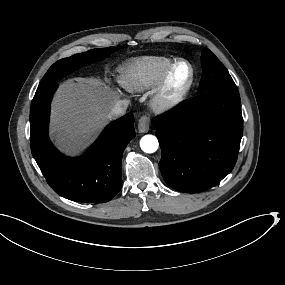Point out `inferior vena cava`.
Returning <instances> with one entry per match:
<instances>
[{
    "label": "inferior vena cava",
    "instance_id": "obj_1",
    "mask_svg": "<svg viewBox=\"0 0 285 285\" xmlns=\"http://www.w3.org/2000/svg\"><path fill=\"white\" fill-rule=\"evenodd\" d=\"M128 105H129L128 100L117 101V103L114 105V107L111 109V111L108 114L109 118L115 119L117 117L124 115Z\"/></svg>",
    "mask_w": 285,
    "mask_h": 285
}]
</instances>
